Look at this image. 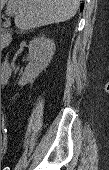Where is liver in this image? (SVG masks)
<instances>
[{"instance_id":"liver-1","label":"liver","mask_w":109,"mask_h":170,"mask_svg":"<svg viewBox=\"0 0 109 170\" xmlns=\"http://www.w3.org/2000/svg\"><path fill=\"white\" fill-rule=\"evenodd\" d=\"M6 1L15 8V25L21 30L67 21L76 14L80 3V0H2Z\"/></svg>"}]
</instances>
